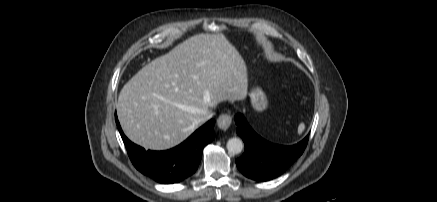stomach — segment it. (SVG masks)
<instances>
[{
	"label": "stomach",
	"instance_id": "0dacf381",
	"mask_svg": "<svg viewBox=\"0 0 437 202\" xmlns=\"http://www.w3.org/2000/svg\"><path fill=\"white\" fill-rule=\"evenodd\" d=\"M251 103L256 111H263L267 107V98L260 88L253 89L250 93Z\"/></svg>",
	"mask_w": 437,
	"mask_h": 202
}]
</instances>
